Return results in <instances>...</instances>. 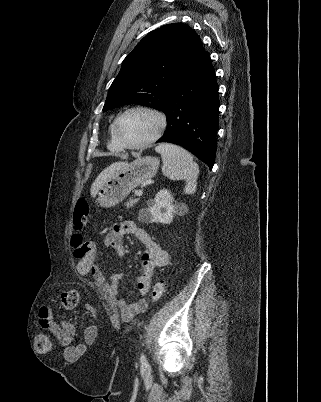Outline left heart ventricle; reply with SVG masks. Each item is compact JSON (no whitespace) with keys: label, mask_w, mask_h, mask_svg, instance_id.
<instances>
[{"label":"left heart ventricle","mask_w":321,"mask_h":402,"mask_svg":"<svg viewBox=\"0 0 321 402\" xmlns=\"http://www.w3.org/2000/svg\"><path fill=\"white\" fill-rule=\"evenodd\" d=\"M158 128V120L147 112L135 111L120 122L119 132L126 143L138 144L150 138Z\"/></svg>","instance_id":"b2bd125f"}]
</instances>
